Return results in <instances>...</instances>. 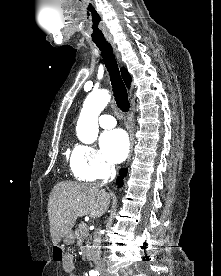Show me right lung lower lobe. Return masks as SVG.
<instances>
[{"label":"right lung lower lobe","mask_w":221,"mask_h":276,"mask_svg":"<svg viewBox=\"0 0 221 276\" xmlns=\"http://www.w3.org/2000/svg\"><path fill=\"white\" fill-rule=\"evenodd\" d=\"M126 174H127V169L120 170V177L117 178V184L119 188L123 186V178L126 176Z\"/></svg>","instance_id":"right-lung-lower-lobe-1"}]
</instances>
